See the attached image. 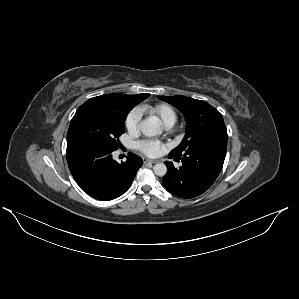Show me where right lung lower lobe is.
I'll list each match as a JSON object with an SVG mask.
<instances>
[{
    "instance_id": "98d812e1",
    "label": "right lung lower lobe",
    "mask_w": 299,
    "mask_h": 299,
    "mask_svg": "<svg viewBox=\"0 0 299 299\" xmlns=\"http://www.w3.org/2000/svg\"><path fill=\"white\" fill-rule=\"evenodd\" d=\"M116 149L99 144L67 146V162L79 187L91 197L109 201L124 194L130 187L141 157L128 153L127 160L119 164L113 160Z\"/></svg>"
}]
</instances>
